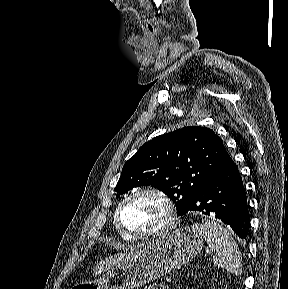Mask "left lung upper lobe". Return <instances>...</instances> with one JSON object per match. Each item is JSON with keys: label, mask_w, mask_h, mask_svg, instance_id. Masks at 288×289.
<instances>
[{"label": "left lung upper lobe", "mask_w": 288, "mask_h": 289, "mask_svg": "<svg viewBox=\"0 0 288 289\" xmlns=\"http://www.w3.org/2000/svg\"><path fill=\"white\" fill-rule=\"evenodd\" d=\"M228 156L213 130L185 127L142 145L124 164L115 191L151 185L173 201L180 216Z\"/></svg>", "instance_id": "5c2ea615"}]
</instances>
